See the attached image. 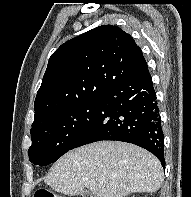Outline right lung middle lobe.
Returning <instances> with one entry per match:
<instances>
[{
    "mask_svg": "<svg viewBox=\"0 0 191 197\" xmlns=\"http://www.w3.org/2000/svg\"><path fill=\"white\" fill-rule=\"evenodd\" d=\"M98 102H88L57 112L31 128L29 160L40 166L55 162L70 150L93 118Z\"/></svg>",
    "mask_w": 191,
    "mask_h": 197,
    "instance_id": "dd1d6c3e",
    "label": "right lung middle lobe"
}]
</instances>
